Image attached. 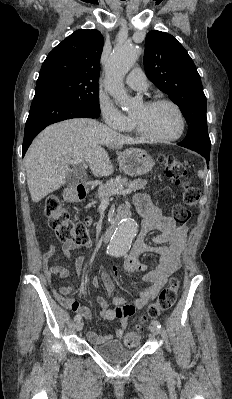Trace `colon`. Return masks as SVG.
<instances>
[{
	"instance_id": "1",
	"label": "colon",
	"mask_w": 232,
	"mask_h": 399,
	"mask_svg": "<svg viewBox=\"0 0 232 399\" xmlns=\"http://www.w3.org/2000/svg\"><path fill=\"white\" fill-rule=\"evenodd\" d=\"M162 168L170 172L174 176V180H179V186H185V195L189 201L183 203H168V208L175 209V218L177 222H189V226H195V217H192L194 209H199L203 205V198L198 190V184L194 176L189 175V170L185 168H192V163L188 160H176L173 156H168L161 164ZM47 195V200H42L44 215L49 219V227L55 231L57 239L71 240L73 244L85 245L95 237V232L91 228L93 222H73L70 216L62 208V204L53 194ZM85 220H90V215H85ZM181 286V281L177 277H172L167 283V289H161V295L158 296L148 311V316L152 320L159 319L163 312H168L169 303L173 302L178 290ZM146 330L145 319L142 322H134L131 327V332L124 337L125 347H138V336L143 335Z\"/></svg>"
}]
</instances>
